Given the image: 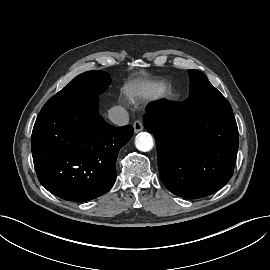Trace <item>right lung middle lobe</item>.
I'll return each mask as SVG.
<instances>
[{
    "instance_id": "dd1d6c3e",
    "label": "right lung middle lobe",
    "mask_w": 270,
    "mask_h": 270,
    "mask_svg": "<svg viewBox=\"0 0 270 270\" xmlns=\"http://www.w3.org/2000/svg\"><path fill=\"white\" fill-rule=\"evenodd\" d=\"M111 79L108 73L94 70L75 77L61 91L51 97L42 109L57 108L98 98L104 92Z\"/></svg>"
}]
</instances>
